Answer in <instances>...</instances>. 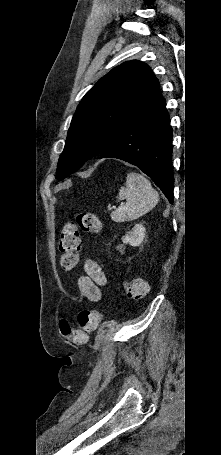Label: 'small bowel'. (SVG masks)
Instances as JSON below:
<instances>
[{
	"label": "small bowel",
	"instance_id": "1",
	"mask_svg": "<svg viewBox=\"0 0 221 455\" xmlns=\"http://www.w3.org/2000/svg\"><path fill=\"white\" fill-rule=\"evenodd\" d=\"M85 275L78 280L81 297L97 302L101 298V288L106 284V276L101 267L91 258H85L83 263Z\"/></svg>",
	"mask_w": 221,
	"mask_h": 455
}]
</instances>
